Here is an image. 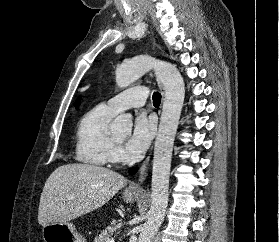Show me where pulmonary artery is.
I'll return each instance as SVG.
<instances>
[{
  "instance_id": "e3ab8cb5",
  "label": "pulmonary artery",
  "mask_w": 279,
  "mask_h": 242,
  "mask_svg": "<svg viewBox=\"0 0 279 242\" xmlns=\"http://www.w3.org/2000/svg\"><path fill=\"white\" fill-rule=\"evenodd\" d=\"M148 97V89L146 86H137L127 89L116 96L112 97L106 102L115 113L121 112L127 108L140 107L145 104Z\"/></svg>"
}]
</instances>
